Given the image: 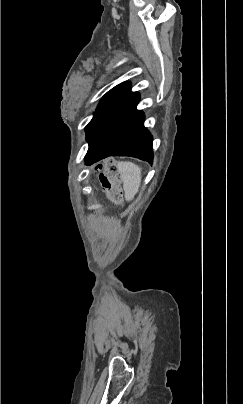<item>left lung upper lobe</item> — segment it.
I'll return each mask as SVG.
<instances>
[{
	"instance_id": "left-lung-upper-lobe-1",
	"label": "left lung upper lobe",
	"mask_w": 243,
	"mask_h": 404,
	"mask_svg": "<svg viewBox=\"0 0 243 404\" xmlns=\"http://www.w3.org/2000/svg\"><path fill=\"white\" fill-rule=\"evenodd\" d=\"M130 94H132V92L130 91V84L128 82H123L107 92L102 98L94 117L85 127L87 135L102 114L128 97Z\"/></svg>"
}]
</instances>
